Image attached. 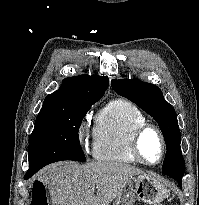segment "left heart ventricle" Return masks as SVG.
<instances>
[{
	"mask_svg": "<svg viewBox=\"0 0 199 205\" xmlns=\"http://www.w3.org/2000/svg\"><path fill=\"white\" fill-rule=\"evenodd\" d=\"M141 151L150 162H156L161 156V144L154 132H147L141 139Z\"/></svg>",
	"mask_w": 199,
	"mask_h": 205,
	"instance_id": "left-heart-ventricle-1",
	"label": "left heart ventricle"
}]
</instances>
